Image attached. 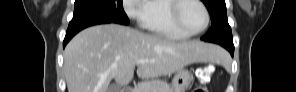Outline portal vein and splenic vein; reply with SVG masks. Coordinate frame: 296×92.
<instances>
[{
    "instance_id": "obj_1",
    "label": "portal vein and splenic vein",
    "mask_w": 296,
    "mask_h": 92,
    "mask_svg": "<svg viewBox=\"0 0 296 92\" xmlns=\"http://www.w3.org/2000/svg\"><path fill=\"white\" fill-rule=\"evenodd\" d=\"M147 62H148L147 59H139V60L136 61L137 64H145Z\"/></svg>"
}]
</instances>
